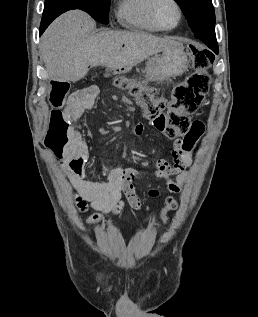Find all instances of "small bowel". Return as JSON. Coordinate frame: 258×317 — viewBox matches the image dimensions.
Returning <instances> with one entry per match:
<instances>
[{"mask_svg": "<svg viewBox=\"0 0 258 317\" xmlns=\"http://www.w3.org/2000/svg\"><path fill=\"white\" fill-rule=\"evenodd\" d=\"M95 97L96 88L87 87L71 94L64 109L72 120H76L94 107ZM143 129L142 123L136 125L137 134H141ZM203 133V122L193 121L190 131L173 142L171 162L166 159L156 161L152 173L165 180L170 192L178 193L187 182L189 168L193 162L192 154ZM56 154L65 163L66 176L75 192L77 207L84 211L89 205L93 210L87 218L88 223H97L106 214L120 213L125 203L133 209H142L133 185V179L139 175V172L121 167H103L99 174L105 177V180L93 181L87 170L90 149L79 132L74 130L71 143ZM150 194L155 197L158 191L152 190Z\"/></svg>", "mask_w": 258, "mask_h": 317, "instance_id": "1", "label": "small bowel"}]
</instances>
